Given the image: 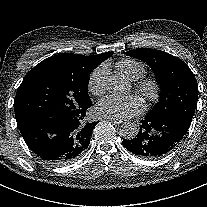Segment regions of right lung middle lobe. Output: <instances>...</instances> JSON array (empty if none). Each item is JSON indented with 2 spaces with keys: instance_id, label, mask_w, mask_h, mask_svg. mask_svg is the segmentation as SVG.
<instances>
[{
  "instance_id": "1",
  "label": "right lung middle lobe",
  "mask_w": 207,
  "mask_h": 207,
  "mask_svg": "<svg viewBox=\"0 0 207 207\" xmlns=\"http://www.w3.org/2000/svg\"><path fill=\"white\" fill-rule=\"evenodd\" d=\"M89 75L55 66H35L20 84L14 111L17 123L36 116L77 117L92 101Z\"/></svg>"
}]
</instances>
